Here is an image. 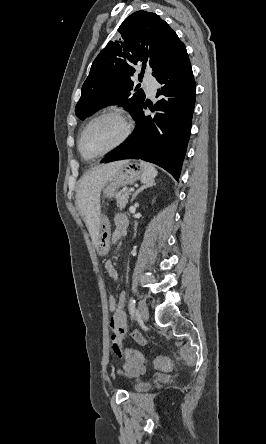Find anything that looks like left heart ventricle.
<instances>
[{
  "label": "left heart ventricle",
  "mask_w": 266,
  "mask_h": 444,
  "mask_svg": "<svg viewBox=\"0 0 266 444\" xmlns=\"http://www.w3.org/2000/svg\"><path fill=\"white\" fill-rule=\"evenodd\" d=\"M119 120L104 117L95 121L85 132L82 146L88 156L99 154L110 148L122 135Z\"/></svg>",
  "instance_id": "left-heart-ventricle-1"
}]
</instances>
